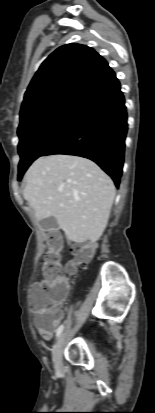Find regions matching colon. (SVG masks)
<instances>
[{
    "label": "colon",
    "instance_id": "5ec220e1",
    "mask_svg": "<svg viewBox=\"0 0 155 413\" xmlns=\"http://www.w3.org/2000/svg\"><path fill=\"white\" fill-rule=\"evenodd\" d=\"M48 251L44 255L42 264L44 291L39 292L35 298L33 308L46 317L48 311H53L59 305L69 289L68 280L62 275L60 264V251L63 246L62 237L56 232H50L47 238ZM76 260L67 266L69 273H74L78 268L86 267L93 254L94 247L90 243L80 244L75 247Z\"/></svg>",
    "mask_w": 155,
    "mask_h": 413
}]
</instances>
